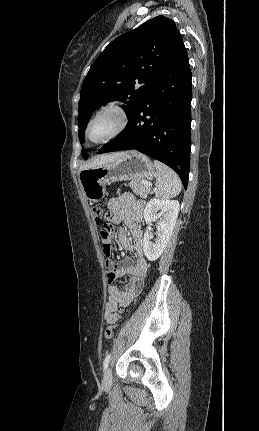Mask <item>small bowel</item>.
Instances as JSON below:
<instances>
[{
	"instance_id": "small-bowel-1",
	"label": "small bowel",
	"mask_w": 259,
	"mask_h": 431,
	"mask_svg": "<svg viewBox=\"0 0 259 431\" xmlns=\"http://www.w3.org/2000/svg\"><path fill=\"white\" fill-rule=\"evenodd\" d=\"M108 217L113 223H124L130 234L120 229L118 241L125 250L133 252L132 259L114 262L107 256L105 265L108 279L109 299L105 306L104 320L106 324H116L120 321L123 309L127 307L140 293L148 264L144 256L142 222L144 202L131 194H123L111 198L107 204ZM128 276L129 281L124 288L115 284L116 279Z\"/></svg>"
}]
</instances>
